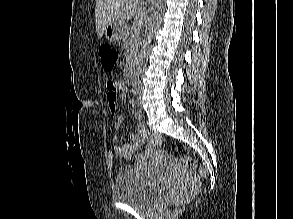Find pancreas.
I'll return each mask as SVG.
<instances>
[{
	"label": "pancreas",
	"instance_id": "cf45deb5",
	"mask_svg": "<svg viewBox=\"0 0 293 219\" xmlns=\"http://www.w3.org/2000/svg\"><path fill=\"white\" fill-rule=\"evenodd\" d=\"M140 31L133 27H127L123 35V44L126 50V69L134 66L139 52Z\"/></svg>",
	"mask_w": 293,
	"mask_h": 219
}]
</instances>
